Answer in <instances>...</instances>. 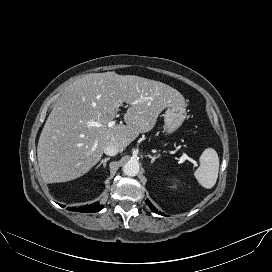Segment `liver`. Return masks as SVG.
Here are the masks:
<instances>
[{
  "mask_svg": "<svg viewBox=\"0 0 272 272\" xmlns=\"http://www.w3.org/2000/svg\"><path fill=\"white\" fill-rule=\"evenodd\" d=\"M123 102L129 105L126 125L109 128ZM172 105H185L180 92L135 75L92 73L74 81L54 105L40 134L37 158L42 179L58 183L81 177L101 159L107 145L123 152L140 133L152 130L159 114ZM91 121L102 126H89Z\"/></svg>",
  "mask_w": 272,
  "mask_h": 272,
  "instance_id": "obj_1",
  "label": "liver"
}]
</instances>
